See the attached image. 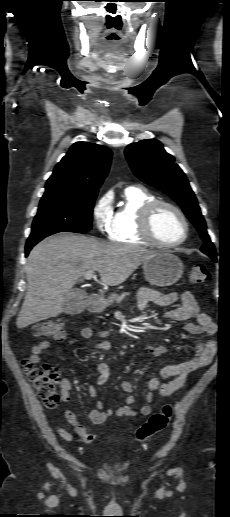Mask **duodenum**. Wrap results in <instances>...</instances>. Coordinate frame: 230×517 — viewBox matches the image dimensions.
<instances>
[{"label":"duodenum","instance_id":"obj_1","mask_svg":"<svg viewBox=\"0 0 230 517\" xmlns=\"http://www.w3.org/2000/svg\"><path fill=\"white\" fill-rule=\"evenodd\" d=\"M103 308V299L96 294H92L88 299V309L91 313H99Z\"/></svg>","mask_w":230,"mask_h":517}]
</instances>
